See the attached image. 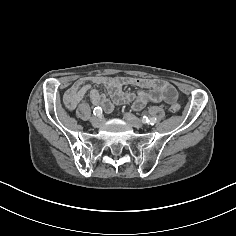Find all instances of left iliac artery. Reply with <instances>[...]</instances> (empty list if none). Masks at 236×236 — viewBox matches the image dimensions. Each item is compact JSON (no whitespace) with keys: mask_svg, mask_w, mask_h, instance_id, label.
I'll list each match as a JSON object with an SVG mask.
<instances>
[{"mask_svg":"<svg viewBox=\"0 0 236 236\" xmlns=\"http://www.w3.org/2000/svg\"><path fill=\"white\" fill-rule=\"evenodd\" d=\"M143 122L144 123H146V124H148V125H154L156 122H157V120H156V118H148L147 116H143Z\"/></svg>","mask_w":236,"mask_h":236,"instance_id":"1","label":"left iliac artery"}]
</instances>
